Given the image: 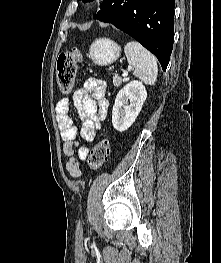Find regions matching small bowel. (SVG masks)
Instances as JSON below:
<instances>
[{
  "label": "small bowel",
  "instance_id": "c3829d8e",
  "mask_svg": "<svg viewBox=\"0 0 221 263\" xmlns=\"http://www.w3.org/2000/svg\"><path fill=\"white\" fill-rule=\"evenodd\" d=\"M105 83L98 79H88L74 92L72 103L81 120L80 136L88 142L94 139L101 122L108 110L105 97ZM70 99L63 98L56 107L58 127L64 142L63 152L68 158L65 170L73 178L82 175L81 161L88 156L86 145H79L77 140L78 128L69 115Z\"/></svg>",
  "mask_w": 221,
  "mask_h": 263
}]
</instances>
